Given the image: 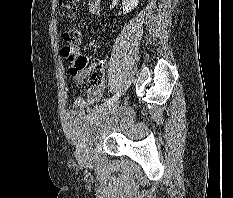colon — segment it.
Returning <instances> with one entry per match:
<instances>
[{"label": "colon", "instance_id": "5ec220e1", "mask_svg": "<svg viewBox=\"0 0 233 198\" xmlns=\"http://www.w3.org/2000/svg\"><path fill=\"white\" fill-rule=\"evenodd\" d=\"M62 8V16L73 17L77 10L76 0H59ZM64 41L70 46H76L80 43V33L76 29H68L63 33ZM84 61L80 60L82 64ZM89 80L92 85L98 86L102 83V69L100 65H95L89 74Z\"/></svg>", "mask_w": 233, "mask_h": 198}]
</instances>
